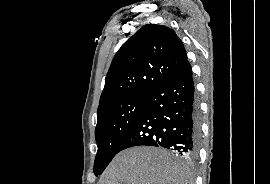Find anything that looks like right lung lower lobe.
<instances>
[{"label": "right lung lower lobe", "mask_w": 270, "mask_h": 184, "mask_svg": "<svg viewBox=\"0 0 270 184\" xmlns=\"http://www.w3.org/2000/svg\"><path fill=\"white\" fill-rule=\"evenodd\" d=\"M200 135L199 109L192 70L185 62L147 95L145 108L118 152L133 146H156L195 156Z\"/></svg>", "instance_id": "obj_1"}]
</instances>
